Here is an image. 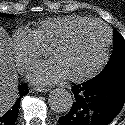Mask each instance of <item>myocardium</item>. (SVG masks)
Masks as SVG:
<instances>
[{
	"label": "myocardium",
	"instance_id": "obj_1",
	"mask_svg": "<svg viewBox=\"0 0 125 125\" xmlns=\"http://www.w3.org/2000/svg\"><path fill=\"white\" fill-rule=\"evenodd\" d=\"M91 24L99 25L104 29L105 35H106L104 50H103V53L101 55V58L99 59V61L97 62V64L93 68H91L90 70H88L87 72H85L83 74L76 75V76H69V79L71 81H74V82H83V81H86V80L94 77L106 65V63L109 59L111 45H112V41H113L112 31H111L110 27L107 24H105L104 22H102L98 19H92L91 18V19H88V20H84V21L79 22V23L71 26L70 28H68L50 46V53H52V51L55 48L63 45L64 43H66L77 30H79L80 28H82L86 25H91Z\"/></svg>",
	"mask_w": 125,
	"mask_h": 125
}]
</instances>
